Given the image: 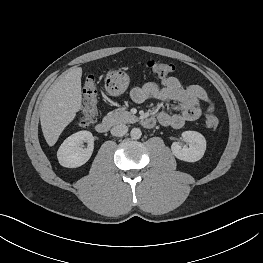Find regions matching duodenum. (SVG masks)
<instances>
[{"mask_svg":"<svg viewBox=\"0 0 263 263\" xmlns=\"http://www.w3.org/2000/svg\"><path fill=\"white\" fill-rule=\"evenodd\" d=\"M141 122L144 127L152 128L154 127L156 120L151 116H147L144 117ZM111 126H112V120L104 119L96 124L95 129L98 133L105 134L110 130Z\"/></svg>","mask_w":263,"mask_h":263,"instance_id":"duodenum-1","label":"duodenum"}]
</instances>
